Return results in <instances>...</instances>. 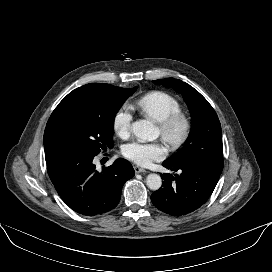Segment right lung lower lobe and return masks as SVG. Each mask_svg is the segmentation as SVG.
<instances>
[{
  "label": "right lung lower lobe",
  "mask_w": 272,
  "mask_h": 272,
  "mask_svg": "<svg viewBox=\"0 0 272 272\" xmlns=\"http://www.w3.org/2000/svg\"><path fill=\"white\" fill-rule=\"evenodd\" d=\"M95 156L67 155L47 163L49 177L62 200L82 215H98L115 208L124 183L135 173L130 162L123 158L97 171Z\"/></svg>",
  "instance_id": "obj_1"
}]
</instances>
